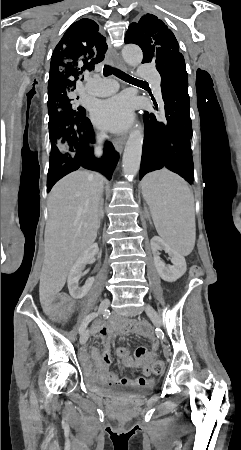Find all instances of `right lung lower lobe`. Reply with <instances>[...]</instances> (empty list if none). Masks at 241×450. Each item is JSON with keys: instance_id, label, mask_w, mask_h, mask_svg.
<instances>
[{"instance_id": "obj_1", "label": "right lung lower lobe", "mask_w": 241, "mask_h": 450, "mask_svg": "<svg viewBox=\"0 0 241 450\" xmlns=\"http://www.w3.org/2000/svg\"><path fill=\"white\" fill-rule=\"evenodd\" d=\"M60 130L72 143L74 152L50 156L47 176L48 192L59 179L77 170L79 167L99 171L107 179H111L119 159V154L115 151L114 146L110 142H107L103 157L100 159L95 158L93 148L89 145L90 143H94L93 127L87 117L81 121L64 124Z\"/></svg>"}]
</instances>
